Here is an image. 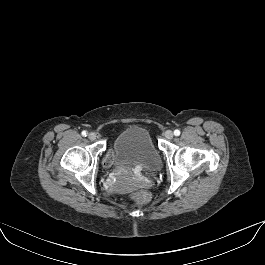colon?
<instances>
[{
	"label": "colon",
	"instance_id": "5ec220e1",
	"mask_svg": "<svg viewBox=\"0 0 265 265\" xmlns=\"http://www.w3.org/2000/svg\"><path fill=\"white\" fill-rule=\"evenodd\" d=\"M131 198L137 203V204H143L148 200V196L145 192H137L131 195Z\"/></svg>",
	"mask_w": 265,
	"mask_h": 265
}]
</instances>
